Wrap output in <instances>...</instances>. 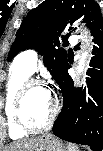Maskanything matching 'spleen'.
Here are the masks:
<instances>
[{"label": "spleen", "mask_w": 103, "mask_h": 151, "mask_svg": "<svg viewBox=\"0 0 103 151\" xmlns=\"http://www.w3.org/2000/svg\"><path fill=\"white\" fill-rule=\"evenodd\" d=\"M67 149L68 151H80L78 146L72 144V143H68L67 144Z\"/></svg>", "instance_id": "1"}]
</instances>
